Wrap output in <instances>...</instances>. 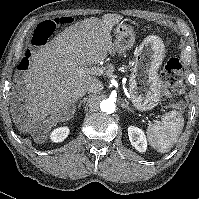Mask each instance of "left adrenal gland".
<instances>
[{"label":"left adrenal gland","instance_id":"left-adrenal-gland-1","mask_svg":"<svg viewBox=\"0 0 199 199\" xmlns=\"http://www.w3.org/2000/svg\"><path fill=\"white\" fill-rule=\"evenodd\" d=\"M121 106H122V108H125V109H127L128 111H130V112L132 111L131 108L128 106V104L125 103V102H122Z\"/></svg>","mask_w":199,"mask_h":199}]
</instances>
